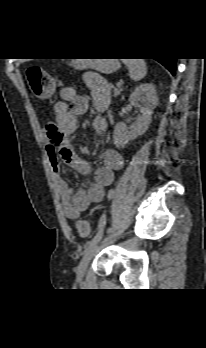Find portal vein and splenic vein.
Listing matches in <instances>:
<instances>
[{
  "label": "portal vein and splenic vein",
  "instance_id": "1",
  "mask_svg": "<svg viewBox=\"0 0 206 348\" xmlns=\"http://www.w3.org/2000/svg\"><path fill=\"white\" fill-rule=\"evenodd\" d=\"M120 86H122V81H119V82L117 83V87H120Z\"/></svg>",
  "mask_w": 206,
  "mask_h": 348
}]
</instances>
